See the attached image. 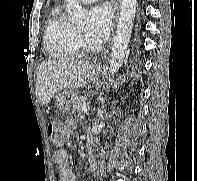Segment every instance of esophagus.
<instances>
[{
  "label": "esophagus",
  "mask_w": 197,
  "mask_h": 181,
  "mask_svg": "<svg viewBox=\"0 0 197 181\" xmlns=\"http://www.w3.org/2000/svg\"><path fill=\"white\" fill-rule=\"evenodd\" d=\"M118 2H120V0H118ZM118 15H119V7L116 8V14H115V17H114L115 22L118 19ZM108 53H109V51L107 50L101 55V61L97 65L98 68L102 67V61H104L107 58Z\"/></svg>",
  "instance_id": "1"
}]
</instances>
